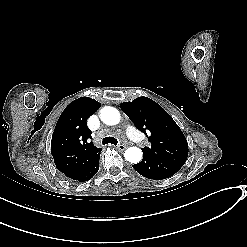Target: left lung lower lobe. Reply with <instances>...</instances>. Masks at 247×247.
<instances>
[{
	"instance_id": "1",
	"label": "left lung lower lobe",
	"mask_w": 247,
	"mask_h": 247,
	"mask_svg": "<svg viewBox=\"0 0 247 247\" xmlns=\"http://www.w3.org/2000/svg\"><path fill=\"white\" fill-rule=\"evenodd\" d=\"M132 167L146 178L161 180L173 176L182 166L152 154L143 153L142 161Z\"/></svg>"
}]
</instances>
